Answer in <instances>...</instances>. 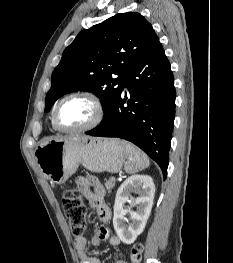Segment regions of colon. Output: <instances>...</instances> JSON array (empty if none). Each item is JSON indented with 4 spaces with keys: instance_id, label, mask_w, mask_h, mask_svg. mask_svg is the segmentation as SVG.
Returning <instances> with one entry per match:
<instances>
[{
    "instance_id": "1",
    "label": "colon",
    "mask_w": 233,
    "mask_h": 263,
    "mask_svg": "<svg viewBox=\"0 0 233 263\" xmlns=\"http://www.w3.org/2000/svg\"><path fill=\"white\" fill-rule=\"evenodd\" d=\"M65 216L69 222L74 237H82L86 230V207L76 189H68L62 195ZM144 252V245L134 243L130 251L131 263H140Z\"/></svg>"
}]
</instances>
